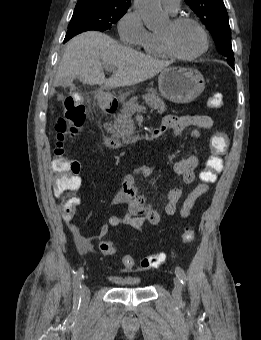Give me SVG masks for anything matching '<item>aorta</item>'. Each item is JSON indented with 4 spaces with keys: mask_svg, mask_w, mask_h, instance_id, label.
I'll use <instances>...</instances> for the list:
<instances>
[{
    "mask_svg": "<svg viewBox=\"0 0 261 340\" xmlns=\"http://www.w3.org/2000/svg\"><path fill=\"white\" fill-rule=\"evenodd\" d=\"M135 5L148 28L158 27L166 21L160 0H135Z\"/></svg>",
    "mask_w": 261,
    "mask_h": 340,
    "instance_id": "762f6f07",
    "label": "aorta"
}]
</instances>
